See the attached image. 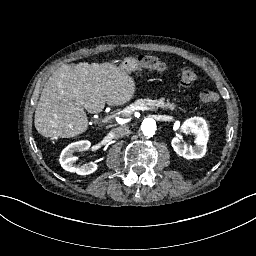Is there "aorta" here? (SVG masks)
Returning a JSON list of instances; mask_svg holds the SVG:
<instances>
[{"instance_id": "obj_1", "label": "aorta", "mask_w": 256, "mask_h": 256, "mask_svg": "<svg viewBox=\"0 0 256 256\" xmlns=\"http://www.w3.org/2000/svg\"><path fill=\"white\" fill-rule=\"evenodd\" d=\"M142 130L144 133L148 134V136H153L157 130V123L153 119H146L142 123Z\"/></svg>"}]
</instances>
